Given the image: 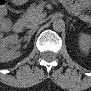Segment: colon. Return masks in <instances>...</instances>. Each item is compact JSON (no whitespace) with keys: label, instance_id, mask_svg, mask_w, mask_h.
Segmentation results:
<instances>
[{"label":"colon","instance_id":"colon-1","mask_svg":"<svg viewBox=\"0 0 91 91\" xmlns=\"http://www.w3.org/2000/svg\"><path fill=\"white\" fill-rule=\"evenodd\" d=\"M4 9H5L4 6H1V7H0V16H1V18H2V24H1V25H2L3 30H4V31H7V30L9 29V21H8L7 18L5 17V15H6V10H5V12H3Z\"/></svg>","mask_w":91,"mask_h":91}]
</instances>
